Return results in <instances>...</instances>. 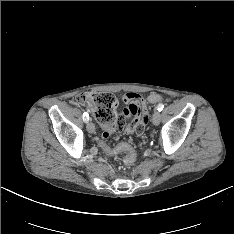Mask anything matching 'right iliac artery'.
<instances>
[{
  "label": "right iliac artery",
  "mask_w": 234,
  "mask_h": 234,
  "mask_svg": "<svg viewBox=\"0 0 234 234\" xmlns=\"http://www.w3.org/2000/svg\"><path fill=\"white\" fill-rule=\"evenodd\" d=\"M83 120L85 121V122H88V120H89V115H88V113H84L83 114Z\"/></svg>",
  "instance_id": "right-iliac-artery-1"
}]
</instances>
